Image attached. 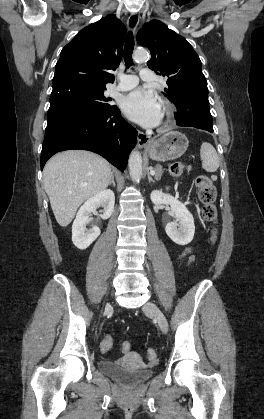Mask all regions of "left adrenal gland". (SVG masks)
Instances as JSON below:
<instances>
[{"instance_id":"obj_1","label":"left adrenal gland","mask_w":264,"mask_h":419,"mask_svg":"<svg viewBox=\"0 0 264 419\" xmlns=\"http://www.w3.org/2000/svg\"><path fill=\"white\" fill-rule=\"evenodd\" d=\"M151 169V168H150ZM148 180L149 182H153L155 183V180L152 178V176L150 175V173L148 172Z\"/></svg>"}]
</instances>
